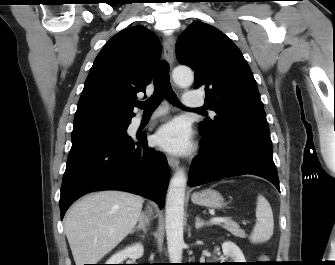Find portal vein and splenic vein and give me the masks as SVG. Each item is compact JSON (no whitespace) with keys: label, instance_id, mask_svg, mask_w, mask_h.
I'll list each match as a JSON object with an SVG mask.
<instances>
[{"label":"portal vein and splenic vein","instance_id":"obj_1","mask_svg":"<svg viewBox=\"0 0 335 265\" xmlns=\"http://www.w3.org/2000/svg\"><path fill=\"white\" fill-rule=\"evenodd\" d=\"M225 221H226V219L223 218V217H214V218L211 219V222H213V223H219V222H225Z\"/></svg>","mask_w":335,"mask_h":265}]
</instances>
